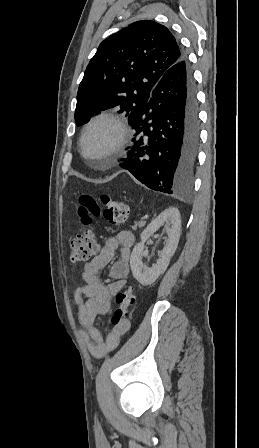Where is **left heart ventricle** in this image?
Masks as SVG:
<instances>
[{
    "label": "left heart ventricle",
    "mask_w": 259,
    "mask_h": 448,
    "mask_svg": "<svg viewBox=\"0 0 259 448\" xmlns=\"http://www.w3.org/2000/svg\"><path fill=\"white\" fill-rule=\"evenodd\" d=\"M113 134V128L108 124H98L93 126L84 140V155L86 161H104V149L111 141Z\"/></svg>",
    "instance_id": "left-heart-ventricle-1"
}]
</instances>
